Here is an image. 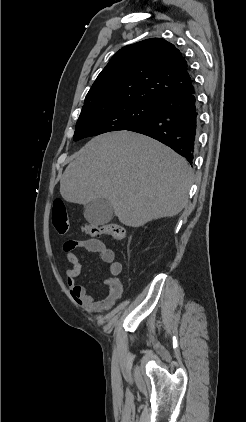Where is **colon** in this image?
<instances>
[{"label": "colon", "mask_w": 246, "mask_h": 422, "mask_svg": "<svg viewBox=\"0 0 246 422\" xmlns=\"http://www.w3.org/2000/svg\"><path fill=\"white\" fill-rule=\"evenodd\" d=\"M52 223L55 229L61 234H65L70 228V219L67 209L61 199H56L53 202ZM82 231L90 236L108 235L118 241L125 237V229L117 223L88 224L82 227Z\"/></svg>", "instance_id": "5ec220e1"}]
</instances>
